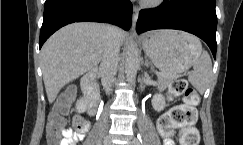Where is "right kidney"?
<instances>
[{
    "mask_svg": "<svg viewBox=\"0 0 243 145\" xmlns=\"http://www.w3.org/2000/svg\"><path fill=\"white\" fill-rule=\"evenodd\" d=\"M87 108V103L86 100L84 98H80L77 102H76V110L78 113H84L86 111Z\"/></svg>",
    "mask_w": 243,
    "mask_h": 145,
    "instance_id": "ca27d5eb",
    "label": "right kidney"
}]
</instances>
